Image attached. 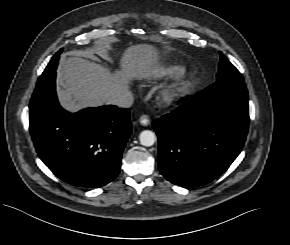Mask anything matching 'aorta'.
Here are the masks:
<instances>
[{"instance_id": "762f6f07", "label": "aorta", "mask_w": 290, "mask_h": 245, "mask_svg": "<svg viewBox=\"0 0 290 245\" xmlns=\"http://www.w3.org/2000/svg\"><path fill=\"white\" fill-rule=\"evenodd\" d=\"M156 139L157 138H156L155 133L150 130H144L139 135L140 143L146 147H150L154 145V143L156 142Z\"/></svg>"}]
</instances>
